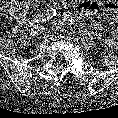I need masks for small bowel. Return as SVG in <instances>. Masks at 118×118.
Returning <instances> with one entry per match:
<instances>
[{"label":"small bowel","instance_id":"small-bowel-1","mask_svg":"<svg viewBox=\"0 0 118 118\" xmlns=\"http://www.w3.org/2000/svg\"><path fill=\"white\" fill-rule=\"evenodd\" d=\"M55 4L60 7L68 6V3L64 2V1H55ZM91 4L88 6H94V3H91ZM90 9H88L89 11H87V13H86L87 16L92 15V13H91L92 10H90ZM104 12H105L106 16H109L111 18V20H113L115 22V24H117V26H118V3H116L115 1H112V4L108 3L105 6Z\"/></svg>","mask_w":118,"mask_h":118}]
</instances>
